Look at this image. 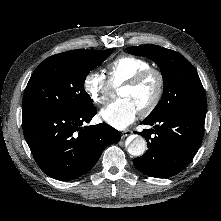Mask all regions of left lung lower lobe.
Wrapping results in <instances>:
<instances>
[{
    "label": "left lung lower lobe",
    "mask_w": 221,
    "mask_h": 221,
    "mask_svg": "<svg viewBox=\"0 0 221 221\" xmlns=\"http://www.w3.org/2000/svg\"><path fill=\"white\" fill-rule=\"evenodd\" d=\"M205 116L173 112L145 118L142 124L155 126L138 133L148 142V150L133 160L135 167L155 178H168L181 172L201 145Z\"/></svg>",
    "instance_id": "left-lung-lower-lobe-1"
}]
</instances>
